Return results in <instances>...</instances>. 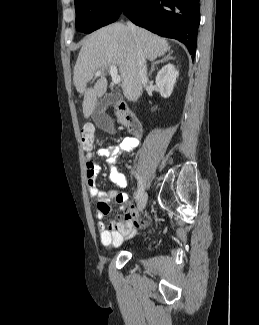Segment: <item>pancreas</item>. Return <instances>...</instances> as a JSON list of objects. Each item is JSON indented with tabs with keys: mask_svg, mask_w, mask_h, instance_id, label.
<instances>
[{
	"mask_svg": "<svg viewBox=\"0 0 259 325\" xmlns=\"http://www.w3.org/2000/svg\"><path fill=\"white\" fill-rule=\"evenodd\" d=\"M115 114H116V116L118 118V122L121 123V124H124L125 122H124L123 116L119 112H116Z\"/></svg>",
	"mask_w": 259,
	"mask_h": 325,
	"instance_id": "1",
	"label": "pancreas"
}]
</instances>
